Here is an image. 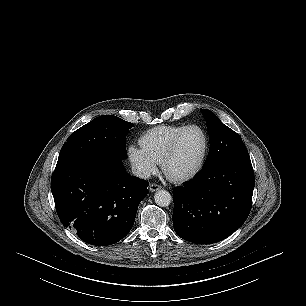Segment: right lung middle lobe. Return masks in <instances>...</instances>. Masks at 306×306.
<instances>
[{
  "label": "right lung middle lobe",
  "mask_w": 306,
  "mask_h": 306,
  "mask_svg": "<svg viewBox=\"0 0 306 306\" xmlns=\"http://www.w3.org/2000/svg\"><path fill=\"white\" fill-rule=\"evenodd\" d=\"M132 126V123L114 115L93 119L68 137L55 169L83 158L126 159L125 139Z\"/></svg>",
  "instance_id": "right-lung-middle-lobe-1"
}]
</instances>
